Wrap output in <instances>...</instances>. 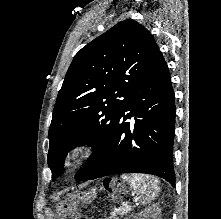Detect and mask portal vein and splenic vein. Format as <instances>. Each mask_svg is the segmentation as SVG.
Wrapping results in <instances>:
<instances>
[{"mask_svg": "<svg viewBox=\"0 0 221 219\" xmlns=\"http://www.w3.org/2000/svg\"><path fill=\"white\" fill-rule=\"evenodd\" d=\"M123 205H124L125 207H129V203H127V202L124 203Z\"/></svg>", "mask_w": 221, "mask_h": 219, "instance_id": "18ae733b", "label": "portal vein and splenic vein"}]
</instances>
